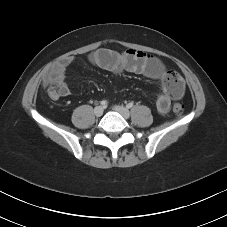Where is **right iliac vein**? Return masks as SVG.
<instances>
[{
	"mask_svg": "<svg viewBox=\"0 0 227 227\" xmlns=\"http://www.w3.org/2000/svg\"><path fill=\"white\" fill-rule=\"evenodd\" d=\"M103 107L102 106H97L95 107L94 109V114L97 116V117H100L102 114H103Z\"/></svg>",
	"mask_w": 227,
	"mask_h": 227,
	"instance_id": "right-iliac-vein-1",
	"label": "right iliac vein"
}]
</instances>
